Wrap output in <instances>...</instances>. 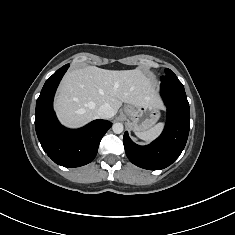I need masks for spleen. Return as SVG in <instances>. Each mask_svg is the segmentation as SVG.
Returning <instances> with one entry per match:
<instances>
[{"mask_svg": "<svg viewBox=\"0 0 235 235\" xmlns=\"http://www.w3.org/2000/svg\"><path fill=\"white\" fill-rule=\"evenodd\" d=\"M164 123H158L150 129L143 132H136V136L146 142H151L156 139L162 132Z\"/></svg>", "mask_w": 235, "mask_h": 235, "instance_id": "3e777b00", "label": "spleen"}]
</instances>
